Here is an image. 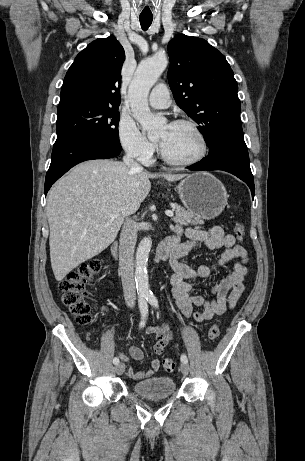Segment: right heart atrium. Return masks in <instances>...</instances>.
Wrapping results in <instances>:
<instances>
[{
    "label": "right heart atrium",
    "mask_w": 305,
    "mask_h": 461,
    "mask_svg": "<svg viewBox=\"0 0 305 461\" xmlns=\"http://www.w3.org/2000/svg\"><path fill=\"white\" fill-rule=\"evenodd\" d=\"M117 135L121 146L131 157L145 164L151 162L157 150V145L142 134L132 119L128 117L120 118Z\"/></svg>",
    "instance_id": "1"
}]
</instances>
